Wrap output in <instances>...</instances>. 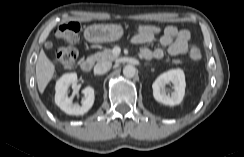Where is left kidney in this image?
<instances>
[{
  "label": "left kidney",
  "mask_w": 244,
  "mask_h": 157,
  "mask_svg": "<svg viewBox=\"0 0 244 157\" xmlns=\"http://www.w3.org/2000/svg\"><path fill=\"white\" fill-rule=\"evenodd\" d=\"M172 83L174 91L171 95L166 94V84ZM185 75L181 69L169 70L160 76L153 82V96L155 100L165 105L174 106L182 102L185 94Z\"/></svg>",
  "instance_id": "obj_1"
}]
</instances>
